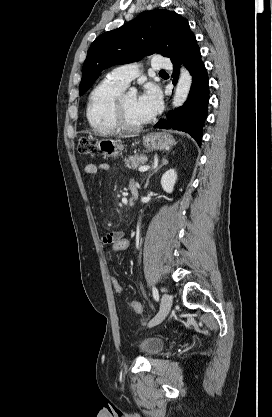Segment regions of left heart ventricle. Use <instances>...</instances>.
Returning <instances> with one entry per match:
<instances>
[{"mask_svg":"<svg viewBox=\"0 0 272 417\" xmlns=\"http://www.w3.org/2000/svg\"><path fill=\"white\" fill-rule=\"evenodd\" d=\"M124 111L127 120L133 124L143 123L148 118L138 108V98L134 94H127L124 98Z\"/></svg>","mask_w":272,"mask_h":417,"instance_id":"1","label":"left heart ventricle"}]
</instances>
